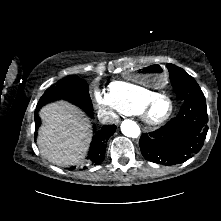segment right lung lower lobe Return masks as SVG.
I'll return each mask as SVG.
<instances>
[{"mask_svg": "<svg viewBox=\"0 0 221 221\" xmlns=\"http://www.w3.org/2000/svg\"><path fill=\"white\" fill-rule=\"evenodd\" d=\"M90 116H92V103L88 106L87 109H84ZM35 111V125L36 129L40 125V118ZM116 131L115 125H106L99 130L96 135L94 136L91 150L89 156L87 157V163L91 165H98L100 164L105 157L106 145L109 138L113 135ZM36 133V132H35ZM74 167H71L70 170H73Z\"/></svg>", "mask_w": 221, "mask_h": 221, "instance_id": "98d812e1", "label": "right lung lower lobe"}]
</instances>
